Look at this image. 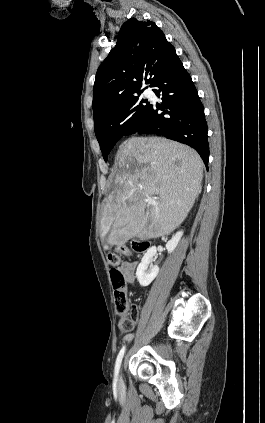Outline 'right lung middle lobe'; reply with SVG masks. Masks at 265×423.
<instances>
[{
	"label": "right lung middle lobe",
	"instance_id": "1",
	"mask_svg": "<svg viewBox=\"0 0 265 423\" xmlns=\"http://www.w3.org/2000/svg\"><path fill=\"white\" fill-rule=\"evenodd\" d=\"M138 96L134 95L122 101L94 123L95 135L105 161L117 141L125 136L149 109L151 104Z\"/></svg>",
	"mask_w": 265,
	"mask_h": 423
}]
</instances>
